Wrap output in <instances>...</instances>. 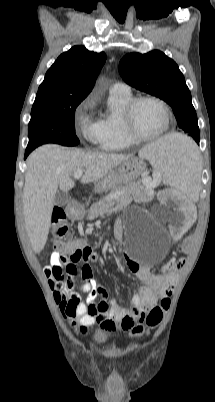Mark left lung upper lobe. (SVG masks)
<instances>
[{
	"instance_id": "1",
	"label": "left lung upper lobe",
	"mask_w": 215,
	"mask_h": 402,
	"mask_svg": "<svg viewBox=\"0 0 215 402\" xmlns=\"http://www.w3.org/2000/svg\"><path fill=\"white\" fill-rule=\"evenodd\" d=\"M123 80L138 90L159 97L175 112L178 127L199 142L197 115L191 94L177 64L158 50L130 53L119 63Z\"/></svg>"
}]
</instances>
